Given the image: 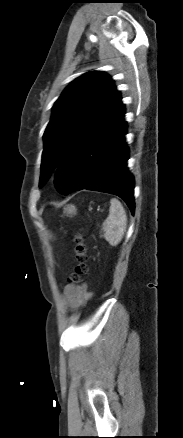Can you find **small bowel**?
Here are the masks:
<instances>
[{
  "instance_id": "1",
  "label": "small bowel",
  "mask_w": 183,
  "mask_h": 438,
  "mask_svg": "<svg viewBox=\"0 0 183 438\" xmlns=\"http://www.w3.org/2000/svg\"><path fill=\"white\" fill-rule=\"evenodd\" d=\"M91 297L92 293L88 291L86 284H70L65 287L63 293V300L71 310H77L84 306Z\"/></svg>"
}]
</instances>
